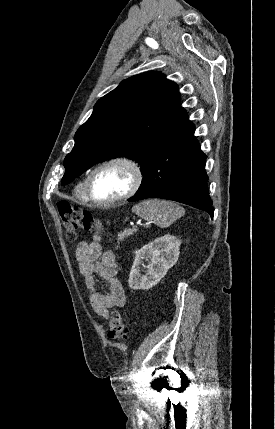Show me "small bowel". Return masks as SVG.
Listing matches in <instances>:
<instances>
[{"instance_id":"1","label":"small bowel","mask_w":275,"mask_h":429,"mask_svg":"<svg viewBox=\"0 0 275 429\" xmlns=\"http://www.w3.org/2000/svg\"><path fill=\"white\" fill-rule=\"evenodd\" d=\"M76 259L85 278L91 306L99 316L108 318L110 308L125 306L126 295L117 279L115 255L110 250H102L99 236H94L91 242H81L76 248ZM98 277L108 285V293L100 291Z\"/></svg>"}]
</instances>
